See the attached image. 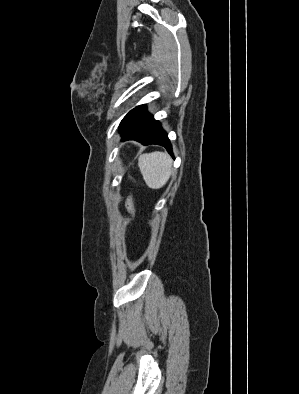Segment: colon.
<instances>
[{
	"label": "colon",
	"instance_id": "colon-1",
	"mask_svg": "<svg viewBox=\"0 0 299 394\" xmlns=\"http://www.w3.org/2000/svg\"><path fill=\"white\" fill-rule=\"evenodd\" d=\"M126 208H127L128 212H129L130 214H132V215L135 214V204H134V198H133V192H132V190L130 191L129 196H128V198H127V201H126Z\"/></svg>",
	"mask_w": 299,
	"mask_h": 394
}]
</instances>
